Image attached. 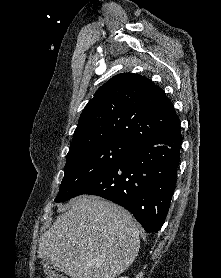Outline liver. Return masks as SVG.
<instances>
[{
  "mask_svg": "<svg viewBox=\"0 0 221 278\" xmlns=\"http://www.w3.org/2000/svg\"><path fill=\"white\" fill-rule=\"evenodd\" d=\"M39 239L38 256L71 278H114L135 260L140 239L132 215L96 196L74 198Z\"/></svg>",
  "mask_w": 221,
  "mask_h": 278,
  "instance_id": "liver-1",
  "label": "liver"
}]
</instances>
